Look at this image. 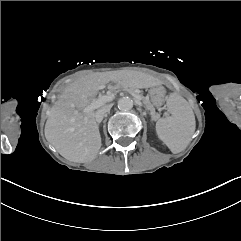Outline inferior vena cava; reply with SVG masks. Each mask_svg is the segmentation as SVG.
Here are the masks:
<instances>
[{"mask_svg": "<svg viewBox=\"0 0 241 241\" xmlns=\"http://www.w3.org/2000/svg\"><path fill=\"white\" fill-rule=\"evenodd\" d=\"M111 107L112 105L109 104L96 111L95 120L97 123H100L103 120L104 115L110 111Z\"/></svg>", "mask_w": 241, "mask_h": 241, "instance_id": "obj_1", "label": "inferior vena cava"}]
</instances>
